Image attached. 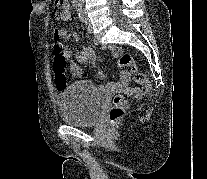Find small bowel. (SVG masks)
I'll use <instances>...</instances> for the list:
<instances>
[{
  "instance_id": "small-bowel-1",
  "label": "small bowel",
  "mask_w": 207,
  "mask_h": 179,
  "mask_svg": "<svg viewBox=\"0 0 207 179\" xmlns=\"http://www.w3.org/2000/svg\"><path fill=\"white\" fill-rule=\"evenodd\" d=\"M68 7V3H67ZM71 18V12L69 8L63 13V15L59 18L62 21H68ZM61 38H69L70 35L67 33L65 29H58L55 31ZM103 49L108 50L114 57L120 59L123 55V52L120 48L114 46H103ZM65 56L70 60V70L71 73L76 77H81L83 75V69L81 68V64L87 62H95L96 55L94 50L89 46L81 47L73 57L71 52L66 51ZM97 77L100 80L105 79V74L102 71L97 73ZM130 81V75L128 71L122 70L120 72L119 80L116 82H108L100 85V90L103 92H110L117 88H127ZM60 86V85H59Z\"/></svg>"
}]
</instances>
